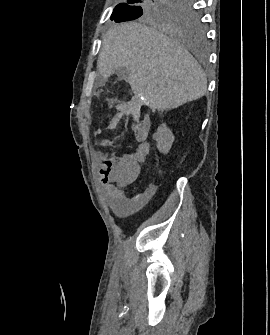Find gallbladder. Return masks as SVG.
Returning <instances> with one entry per match:
<instances>
[{"label":"gallbladder","mask_w":270,"mask_h":335,"mask_svg":"<svg viewBox=\"0 0 270 335\" xmlns=\"http://www.w3.org/2000/svg\"><path fill=\"white\" fill-rule=\"evenodd\" d=\"M118 78H120V80H128L129 78V72L127 70V68H118L117 72H116Z\"/></svg>","instance_id":"bac80fb5"}]
</instances>
